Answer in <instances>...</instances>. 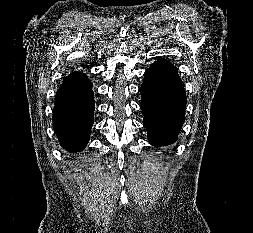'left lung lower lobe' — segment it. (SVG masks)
<instances>
[{
	"label": "left lung lower lobe",
	"mask_w": 253,
	"mask_h": 233,
	"mask_svg": "<svg viewBox=\"0 0 253 233\" xmlns=\"http://www.w3.org/2000/svg\"><path fill=\"white\" fill-rule=\"evenodd\" d=\"M144 77L141 109L148 141L154 146L172 144L185 121L187 101L178 70L168 60L158 59Z\"/></svg>",
	"instance_id": "obj_1"
}]
</instances>
